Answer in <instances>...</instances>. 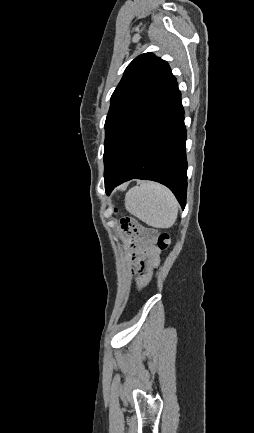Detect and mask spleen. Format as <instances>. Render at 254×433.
Masks as SVG:
<instances>
[{
    "mask_svg": "<svg viewBox=\"0 0 254 433\" xmlns=\"http://www.w3.org/2000/svg\"><path fill=\"white\" fill-rule=\"evenodd\" d=\"M127 211L156 228H170L177 219L178 202L165 186L145 181L131 188L125 196Z\"/></svg>",
    "mask_w": 254,
    "mask_h": 433,
    "instance_id": "1",
    "label": "spleen"
}]
</instances>
